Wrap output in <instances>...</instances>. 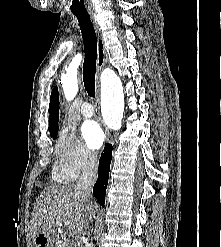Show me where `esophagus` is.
Wrapping results in <instances>:
<instances>
[{"instance_id":"esophagus-1","label":"esophagus","mask_w":221,"mask_h":247,"mask_svg":"<svg viewBox=\"0 0 221 247\" xmlns=\"http://www.w3.org/2000/svg\"><path fill=\"white\" fill-rule=\"evenodd\" d=\"M91 20H92V23H93V26H94V29L96 32V37H97V80H98L99 73L107 62V53H106V49H105V44H104L101 28H100L99 24L97 23L95 17H91ZM97 86H98L97 110H98V118H99V120H101L100 106H99V82L98 81H97ZM104 128H105V126H104ZM105 135H106L107 141L112 142L113 137L107 128H105Z\"/></svg>"}]
</instances>
